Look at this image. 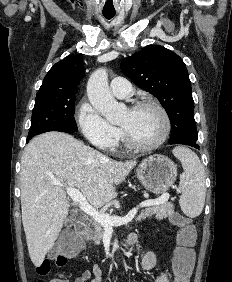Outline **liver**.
<instances>
[{
    "mask_svg": "<svg viewBox=\"0 0 232 282\" xmlns=\"http://www.w3.org/2000/svg\"><path fill=\"white\" fill-rule=\"evenodd\" d=\"M136 164V160L109 159L62 132L32 139L21 161L20 188L22 223L33 264H42L63 227L70 208L64 187L80 190L93 207H102L116 197V186Z\"/></svg>",
    "mask_w": 232,
    "mask_h": 282,
    "instance_id": "1",
    "label": "liver"
}]
</instances>
